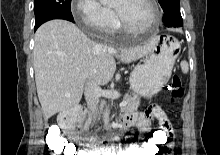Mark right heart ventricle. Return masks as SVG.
I'll return each mask as SVG.
<instances>
[{"label":"right heart ventricle","mask_w":220,"mask_h":155,"mask_svg":"<svg viewBox=\"0 0 220 155\" xmlns=\"http://www.w3.org/2000/svg\"><path fill=\"white\" fill-rule=\"evenodd\" d=\"M114 28H117V24H115V27Z\"/></svg>","instance_id":"right-heart-ventricle-1"}]
</instances>
